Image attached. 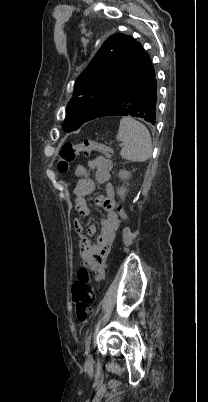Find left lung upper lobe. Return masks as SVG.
<instances>
[{
  "mask_svg": "<svg viewBox=\"0 0 208 402\" xmlns=\"http://www.w3.org/2000/svg\"><path fill=\"white\" fill-rule=\"evenodd\" d=\"M143 56L141 44L131 36L121 33L110 36L75 81L63 129L74 131L98 118L138 71Z\"/></svg>",
  "mask_w": 208,
  "mask_h": 402,
  "instance_id": "5c2ea615",
  "label": "left lung upper lobe"
}]
</instances>
